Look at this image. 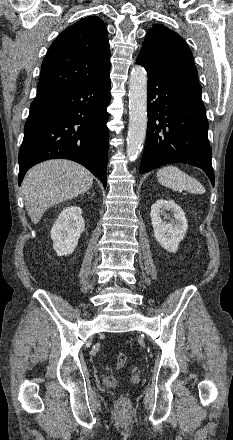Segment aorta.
<instances>
[{
	"label": "aorta",
	"mask_w": 233,
	"mask_h": 440,
	"mask_svg": "<svg viewBox=\"0 0 233 440\" xmlns=\"http://www.w3.org/2000/svg\"><path fill=\"white\" fill-rule=\"evenodd\" d=\"M147 73L136 65L129 80V127L127 156L134 160L142 150L147 129Z\"/></svg>",
	"instance_id": "1"
}]
</instances>
